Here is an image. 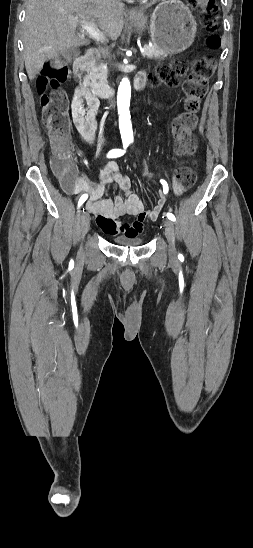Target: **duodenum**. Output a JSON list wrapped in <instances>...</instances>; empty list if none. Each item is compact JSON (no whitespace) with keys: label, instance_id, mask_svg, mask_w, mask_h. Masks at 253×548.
<instances>
[{"label":"duodenum","instance_id":"duodenum-1","mask_svg":"<svg viewBox=\"0 0 253 548\" xmlns=\"http://www.w3.org/2000/svg\"><path fill=\"white\" fill-rule=\"evenodd\" d=\"M97 49H90L84 55L76 58L73 64V75L76 79H81L90 64L98 57ZM134 86L136 89H141L144 86V77L142 75L135 79ZM81 87L91 90V92L101 98H111L115 91L113 88L105 85L92 84L90 82L83 83Z\"/></svg>","mask_w":253,"mask_h":548}]
</instances>
